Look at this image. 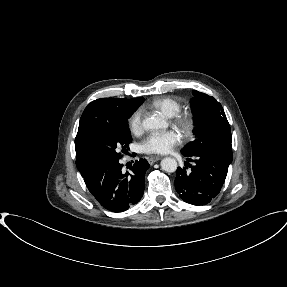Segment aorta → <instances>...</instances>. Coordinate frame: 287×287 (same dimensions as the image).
<instances>
[{
  "label": "aorta",
  "instance_id": "aorta-1",
  "mask_svg": "<svg viewBox=\"0 0 287 287\" xmlns=\"http://www.w3.org/2000/svg\"><path fill=\"white\" fill-rule=\"evenodd\" d=\"M143 127L146 130H158L164 126V121L158 116H150L143 120ZM161 168L163 171L172 173L177 169V161L174 158L166 157L161 160Z\"/></svg>",
  "mask_w": 287,
  "mask_h": 287
}]
</instances>
